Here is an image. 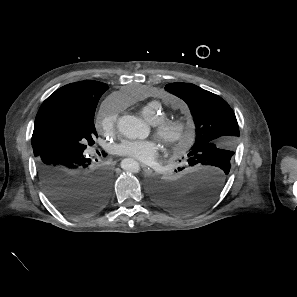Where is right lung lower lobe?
I'll use <instances>...</instances> for the list:
<instances>
[{
    "instance_id": "obj_1",
    "label": "right lung lower lobe",
    "mask_w": 297,
    "mask_h": 297,
    "mask_svg": "<svg viewBox=\"0 0 297 297\" xmlns=\"http://www.w3.org/2000/svg\"><path fill=\"white\" fill-rule=\"evenodd\" d=\"M36 156L41 185L63 213L80 216L96 212L110 195V176L104 168L90 166L83 153L50 148Z\"/></svg>"
}]
</instances>
